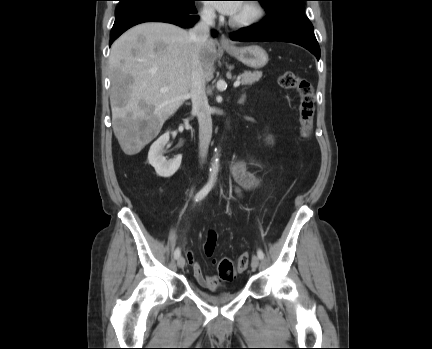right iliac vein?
<instances>
[{
  "label": "right iliac vein",
  "instance_id": "1",
  "mask_svg": "<svg viewBox=\"0 0 432 349\" xmlns=\"http://www.w3.org/2000/svg\"><path fill=\"white\" fill-rule=\"evenodd\" d=\"M177 265H178L179 268H183L185 266V259L182 256H180L178 258Z\"/></svg>",
  "mask_w": 432,
  "mask_h": 349
}]
</instances>
